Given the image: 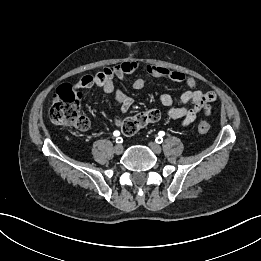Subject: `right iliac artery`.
Masks as SVG:
<instances>
[{"mask_svg": "<svg viewBox=\"0 0 261 261\" xmlns=\"http://www.w3.org/2000/svg\"><path fill=\"white\" fill-rule=\"evenodd\" d=\"M120 132L119 131H114V136H119ZM123 139L121 137L116 138V143H122Z\"/></svg>", "mask_w": 261, "mask_h": 261, "instance_id": "82829eb1", "label": "right iliac artery"}]
</instances>
